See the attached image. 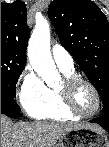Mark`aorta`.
Masks as SVG:
<instances>
[{
    "instance_id": "762f6f07",
    "label": "aorta",
    "mask_w": 109,
    "mask_h": 147,
    "mask_svg": "<svg viewBox=\"0 0 109 147\" xmlns=\"http://www.w3.org/2000/svg\"><path fill=\"white\" fill-rule=\"evenodd\" d=\"M31 66L43 81L53 87L60 80V74L50 52V26L46 20L36 22L28 44Z\"/></svg>"
}]
</instances>
